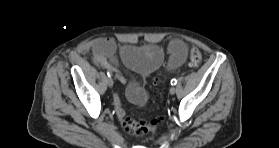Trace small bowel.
Masks as SVG:
<instances>
[{
    "instance_id": "small-bowel-1",
    "label": "small bowel",
    "mask_w": 279,
    "mask_h": 148,
    "mask_svg": "<svg viewBox=\"0 0 279 148\" xmlns=\"http://www.w3.org/2000/svg\"><path fill=\"white\" fill-rule=\"evenodd\" d=\"M168 50L167 70H175L184 64L187 48L183 41L172 39L169 42ZM93 52L95 64L114 73L121 83H127V78L118 68V57L128 68L140 74L144 79L148 78L164 62V53L156 45L144 48L123 46L117 49L115 42L109 38L97 40L93 45ZM126 95L129 101L137 105H143L147 99L145 88L136 81L128 82ZM114 104L116 115L119 119L123 118L126 113L118 95L114 96Z\"/></svg>"
}]
</instances>
